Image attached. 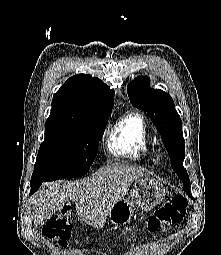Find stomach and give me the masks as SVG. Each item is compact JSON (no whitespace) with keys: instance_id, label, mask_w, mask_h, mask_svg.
<instances>
[{"instance_id":"stomach-1","label":"stomach","mask_w":221,"mask_h":255,"mask_svg":"<svg viewBox=\"0 0 221 255\" xmlns=\"http://www.w3.org/2000/svg\"><path fill=\"white\" fill-rule=\"evenodd\" d=\"M165 188L157 180L143 177L136 180L128 198L117 201L108 213L112 224L125 225L130 222L134 211L140 208L148 211L164 198Z\"/></svg>"}]
</instances>
